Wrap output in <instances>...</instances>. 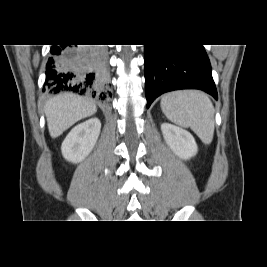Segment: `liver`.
Instances as JSON below:
<instances>
[{"label":"liver","mask_w":267,"mask_h":267,"mask_svg":"<svg viewBox=\"0 0 267 267\" xmlns=\"http://www.w3.org/2000/svg\"><path fill=\"white\" fill-rule=\"evenodd\" d=\"M97 111L96 105L75 94L65 93L51 98L45 105L50 136L57 138L76 122Z\"/></svg>","instance_id":"6515ba94"}]
</instances>
